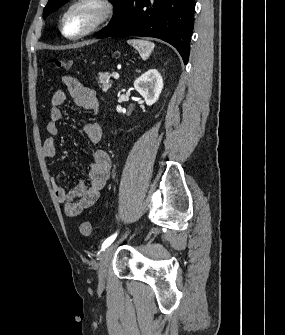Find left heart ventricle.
<instances>
[{
	"label": "left heart ventricle",
	"mask_w": 285,
	"mask_h": 335,
	"mask_svg": "<svg viewBox=\"0 0 285 335\" xmlns=\"http://www.w3.org/2000/svg\"><path fill=\"white\" fill-rule=\"evenodd\" d=\"M99 15V11L90 6L78 8L74 13V18L82 27L90 25Z\"/></svg>",
	"instance_id": "b2bd125f"
}]
</instances>
